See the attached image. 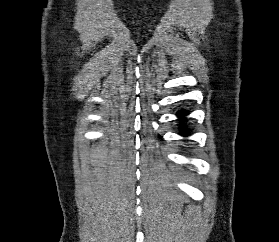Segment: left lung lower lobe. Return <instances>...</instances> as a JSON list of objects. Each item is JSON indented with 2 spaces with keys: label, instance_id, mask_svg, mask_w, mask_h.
I'll return each mask as SVG.
<instances>
[{
  "label": "left lung lower lobe",
  "instance_id": "left-lung-lower-lobe-1",
  "mask_svg": "<svg viewBox=\"0 0 279 242\" xmlns=\"http://www.w3.org/2000/svg\"><path fill=\"white\" fill-rule=\"evenodd\" d=\"M186 114V112L184 111V110H179L178 112H177V115H178V117H182V116H184ZM181 120V122L179 123V127H180V134L181 135H187V133H188V128H187V126L185 125V123L183 122V118H181L180 119Z\"/></svg>",
  "mask_w": 279,
  "mask_h": 242
}]
</instances>
